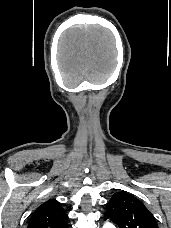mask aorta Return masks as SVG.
Instances as JSON below:
<instances>
[{
    "label": "aorta",
    "instance_id": "obj_1",
    "mask_svg": "<svg viewBox=\"0 0 171 228\" xmlns=\"http://www.w3.org/2000/svg\"><path fill=\"white\" fill-rule=\"evenodd\" d=\"M103 228H115V226L112 223H105Z\"/></svg>",
    "mask_w": 171,
    "mask_h": 228
}]
</instances>
